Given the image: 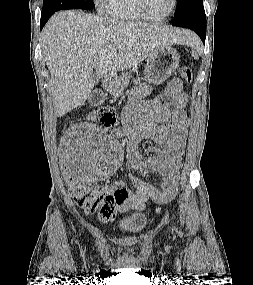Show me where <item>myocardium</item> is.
I'll return each mask as SVG.
<instances>
[{"instance_id": "obj_1", "label": "myocardium", "mask_w": 253, "mask_h": 285, "mask_svg": "<svg viewBox=\"0 0 253 285\" xmlns=\"http://www.w3.org/2000/svg\"><path fill=\"white\" fill-rule=\"evenodd\" d=\"M135 1H136L137 10H138L139 14L141 15V17L145 20L153 21V22H160V21H164V20L168 19L169 17H171L175 13L177 6H178V0H173L172 8L168 14H166L162 17H152V16L148 15L146 10H145L144 0H135Z\"/></svg>"}]
</instances>
